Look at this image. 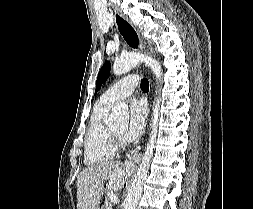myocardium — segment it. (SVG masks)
I'll return each mask as SVG.
<instances>
[{"mask_svg":"<svg viewBox=\"0 0 253 209\" xmlns=\"http://www.w3.org/2000/svg\"><path fill=\"white\" fill-rule=\"evenodd\" d=\"M110 130V134H111V137H112V140H113V143L115 145V147L117 149H123L126 147V143L125 141L123 140V137H121L120 135H118L113 129L112 127L109 128Z\"/></svg>","mask_w":253,"mask_h":209,"instance_id":"f54148a6","label":"myocardium"}]
</instances>
